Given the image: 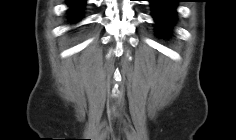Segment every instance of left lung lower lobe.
Masks as SVG:
<instances>
[{
	"label": "left lung lower lobe",
	"mask_w": 236,
	"mask_h": 140,
	"mask_svg": "<svg viewBox=\"0 0 236 140\" xmlns=\"http://www.w3.org/2000/svg\"><path fill=\"white\" fill-rule=\"evenodd\" d=\"M180 0H150L157 31L166 34L175 21V7Z\"/></svg>",
	"instance_id": "1"
}]
</instances>
